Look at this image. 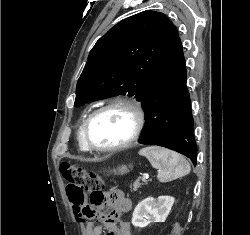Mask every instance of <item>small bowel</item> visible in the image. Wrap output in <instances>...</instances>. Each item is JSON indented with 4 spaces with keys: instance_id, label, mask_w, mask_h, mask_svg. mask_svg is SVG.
I'll use <instances>...</instances> for the list:
<instances>
[{
    "instance_id": "1",
    "label": "small bowel",
    "mask_w": 250,
    "mask_h": 235,
    "mask_svg": "<svg viewBox=\"0 0 250 235\" xmlns=\"http://www.w3.org/2000/svg\"><path fill=\"white\" fill-rule=\"evenodd\" d=\"M107 196L108 201L100 208L102 223L89 221L91 212L95 210L88 203L72 205L76 220L85 224V235H103L105 231L106 235H131L129 223L118 219L131 209V199L120 190H111Z\"/></svg>"
}]
</instances>
